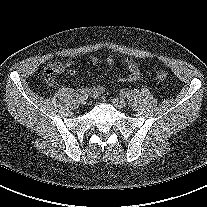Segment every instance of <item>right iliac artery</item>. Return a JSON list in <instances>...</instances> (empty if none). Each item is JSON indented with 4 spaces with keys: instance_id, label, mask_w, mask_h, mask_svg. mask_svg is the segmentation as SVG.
Wrapping results in <instances>:
<instances>
[{
    "instance_id": "82829eb1",
    "label": "right iliac artery",
    "mask_w": 207,
    "mask_h": 207,
    "mask_svg": "<svg viewBox=\"0 0 207 207\" xmlns=\"http://www.w3.org/2000/svg\"><path fill=\"white\" fill-rule=\"evenodd\" d=\"M80 93H81L82 95H87L88 90H87L86 88H82V89L80 90Z\"/></svg>"
}]
</instances>
